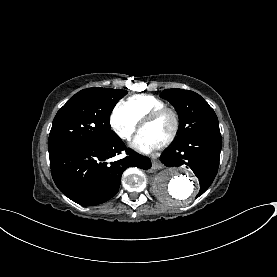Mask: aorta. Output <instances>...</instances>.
Returning <instances> with one entry per match:
<instances>
[{
    "label": "aorta",
    "instance_id": "aorta-1",
    "mask_svg": "<svg viewBox=\"0 0 277 277\" xmlns=\"http://www.w3.org/2000/svg\"><path fill=\"white\" fill-rule=\"evenodd\" d=\"M153 187L161 200L176 205L192 199L199 190V183L192 172L186 169L169 168L157 174Z\"/></svg>",
    "mask_w": 277,
    "mask_h": 277
}]
</instances>
